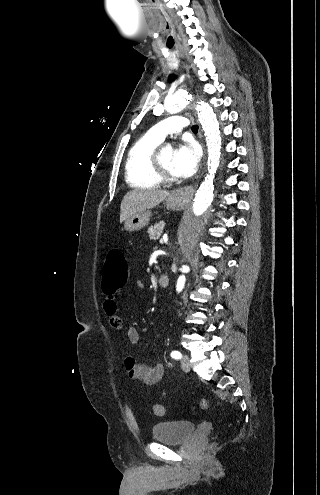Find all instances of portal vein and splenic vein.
Returning a JSON list of instances; mask_svg holds the SVG:
<instances>
[{"label":"portal vein and splenic vein","instance_id":"portal-vein-and-splenic-vein-1","mask_svg":"<svg viewBox=\"0 0 320 495\" xmlns=\"http://www.w3.org/2000/svg\"><path fill=\"white\" fill-rule=\"evenodd\" d=\"M165 241V239H160V243H163Z\"/></svg>","mask_w":320,"mask_h":495}]
</instances>
